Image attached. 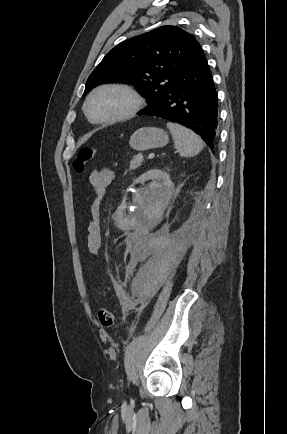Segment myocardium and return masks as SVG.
I'll return each mask as SVG.
<instances>
[{
	"instance_id": "1",
	"label": "myocardium",
	"mask_w": 287,
	"mask_h": 434,
	"mask_svg": "<svg viewBox=\"0 0 287 434\" xmlns=\"http://www.w3.org/2000/svg\"><path fill=\"white\" fill-rule=\"evenodd\" d=\"M108 89H116L124 92L130 98V105L123 113L117 116L99 119L94 118L89 110L90 102L96 94ZM143 103L144 101L141 94L132 86L119 82H109L98 85L90 91L84 102V112L89 121L94 124H114L134 117L141 110Z\"/></svg>"
}]
</instances>
